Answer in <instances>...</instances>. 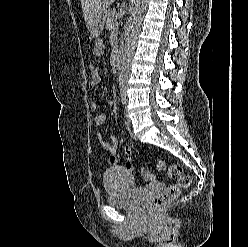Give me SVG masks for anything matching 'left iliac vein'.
Segmentation results:
<instances>
[{
    "label": "left iliac vein",
    "instance_id": "1",
    "mask_svg": "<svg viewBox=\"0 0 248 247\" xmlns=\"http://www.w3.org/2000/svg\"><path fill=\"white\" fill-rule=\"evenodd\" d=\"M125 116H126L127 121L130 122L131 120L129 118L128 110L126 107H125Z\"/></svg>",
    "mask_w": 248,
    "mask_h": 247
}]
</instances>
